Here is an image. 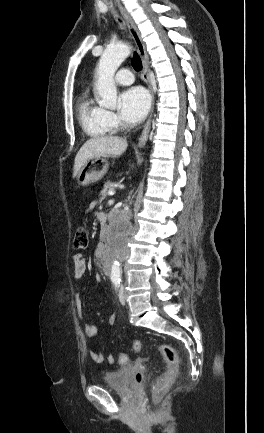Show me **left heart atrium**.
Masks as SVG:
<instances>
[{
    "instance_id": "1",
    "label": "left heart atrium",
    "mask_w": 264,
    "mask_h": 433,
    "mask_svg": "<svg viewBox=\"0 0 264 433\" xmlns=\"http://www.w3.org/2000/svg\"><path fill=\"white\" fill-rule=\"evenodd\" d=\"M149 107L150 97L141 87H131L119 96V113L127 122L137 123L143 120Z\"/></svg>"
}]
</instances>
